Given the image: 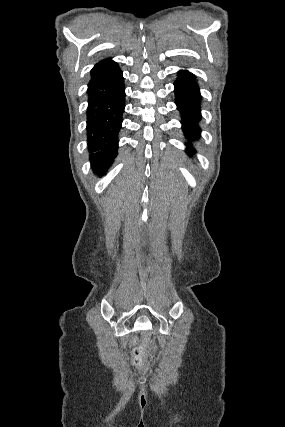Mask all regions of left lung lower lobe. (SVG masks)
Instances as JSON below:
<instances>
[{"label": "left lung lower lobe", "mask_w": 285, "mask_h": 427, "mask_svg": "<svg viewBox=\"0 0 285 427\" xmlns=\"http://www.w3.org/2000/svg\"><path fill=\"white\" fill-rule=\"evenodd\" d=\"M176 105L181 114V123L184 136L187 139L185 143L187 152L191 155L195 152L192 146L194 141L200 138L199 121L201 95L199 86L196 82V77L186 70L178 72V78L174 82ZM192 152V153H191Z\"/></svg>", "instance_id": "0a47b994"}]
</instances>
